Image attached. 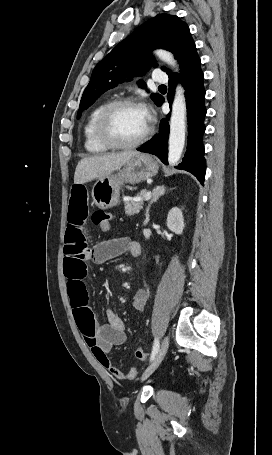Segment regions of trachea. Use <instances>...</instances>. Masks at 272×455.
<instances>
[{
  "label": "trachea",
  "instance_id": "1",
  "mask_svg": "<svg viewBox=\"0 0 272 455\" xmlns=\"http://www.w3.org/2000/svg\"><path fill=\"white\" fill-rule=\"evenodd\" d=\"M159 87H160V88H165L166 86H165V85H160Z\"/></svg>",
  "mask_w": 272,
  "mask_h": 455
}]
</instances>
